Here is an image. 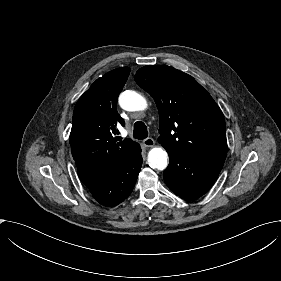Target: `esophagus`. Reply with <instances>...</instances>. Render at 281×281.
<instances>
[{
  "label": "esophagus",
  "instance_id": "1",
  "mask_svg": "<svg viewBox=\"0 0 281 281\" xmlns=\"http://www.w3.org/2000/svg\"><path fill=\"white\" fill-rule=\"evenodd\" d=\"M143 145L145 147H153L155 145V141L152 138H146L143 140Z\"/></svg>",
  "mask_w": 281,
  "mask_h": 281
}]
</instances>
